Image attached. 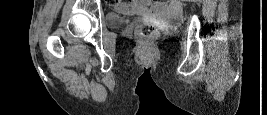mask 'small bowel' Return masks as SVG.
Wrapping results in <instances>:
<instances>
[{
  "label": "small bowel",
  "mask_w": 267,
  "mask_h": 115,
  "mask_svg": "<svg viewBox=\"0 0 267 115\" xmlns=\"http://www.w3.org/2000/svg\"><path fill=\"white\" fill-rule=\"evenodd\" d=\"M111 4L113 8L120 13L142 16L164 12L168 8L172 11H178L180 8V5L177 1L171 2L169 7H167V5L162 2L153 3L148 0L130 3L123 1H113Z\"/></svg>",
  "instance_id": "c3829d8e"
}]
</instances>
